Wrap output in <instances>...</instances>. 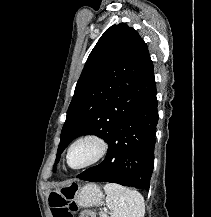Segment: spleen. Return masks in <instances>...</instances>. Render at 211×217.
<instances>
[{
    "mask_svg": "<svg viewBox=\"0 0 211 217\" xmlns=\"http://www.w3.org/2000/svg\"><path fill=\"white\" fill-rule=\"evenodd\" d=\"M104 191L111 217H144L145 204L139 192L116 183H107Z\"/></svg>",
    "mask_w": 211,
    "mask_h": 217,
    "instance_id": "1",
    "label": "spleen"
}]
</instances>
